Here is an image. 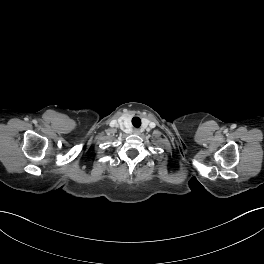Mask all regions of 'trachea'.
Here are the masks:
<instances>
[{"label":"trachea","mask_w":264,"mask_h":264,"mask_svg":"<svg viewBox=\"0 0 264 264\" xmlns=\"http://www.w3.org/2000/svg\"><path fill=\"white\" fill-rule=\"evenodd\" d=\"M132 124L134 127L139 128L141 126V119L139 117H134L132 119Z\"/></svg>","instance_id":"obj_1"}]
</instances>
